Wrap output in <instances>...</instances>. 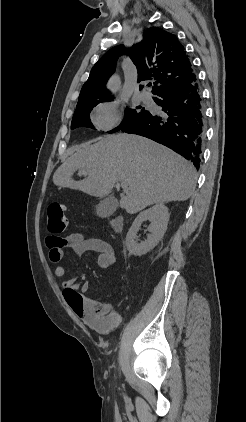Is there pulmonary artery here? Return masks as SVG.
Here are the masks:
<instances>
[{
  "label": "pulmonary artery",
  "mask_w": 246,
  "mask_h": 422,
  "mask_svg": "<svg viewBox=\"0 0 246 422\" xmlns=\"http://www.w3.org/2000/svg\"><path fill=\"white\" fill-rule=\"evenodd\" d=\"M140 98H141V100H142L143 102H145V103H150V102H152V98H151L150 94H149V93H147V92H142V93L140 94Z\"/></svg>",
  "instance_id": "pulmonary-artery-1"
}]
</instances>
